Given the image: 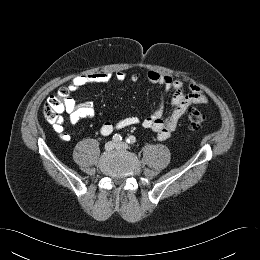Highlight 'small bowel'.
<instances>
[{"instance_id":"obj_1","label":"small bowel","mask_w":260,"mask_h":260,"mask_svg":"<svg viewBox=\"0 0 260 260\" xmlns=\"http://www.w3.org/2000/svg\"><path fill=\"white\" fill-rule=\"evenodd\" d=\"M112 78L123 81L126 79V74L122 71H117L115 73L101 71L92 74L78 75L72 79L69 89L73 91L84 85L106 83ZM130 79L133 82H137L140 79V74L136 72L132 73ZM146 79L150 83L162 86L164 93L170 92L172 94L170 100V113L164 117V101L163 96H161L156 110L142 120L136 116H128L115 123H103L100 127V133L103 136H107L115 130L141 123L145 129L153 131L158 139L166 140L175 131L180 119L184 116L190 106L206 104L209 102L208 96L199 86H186L182 80L173 78L170 75L149 71L146 74ZM65 110L69 115V122L71 124H77L83 119L94 118L96 115V110L90 102L78 104L71 96L66 100ZM56 130L60 134L62 140L66 142L71 140V136L69 133L65 132L62 122L57 124Z\"/></svg>"}]
</instances>
